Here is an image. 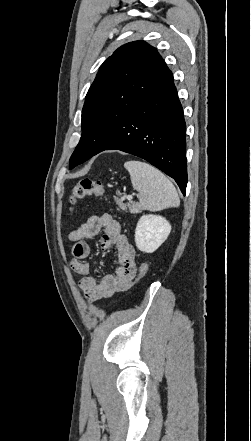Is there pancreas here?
Returning <instances> with one entry per match:
<instances>
[{
    "label": "pancreas",
    "instance_id": "pancreas-1",
    "mask_svg": "<svg viewBox=\"0 0 251 441\" xmlns=\"http://www.w3.org/2000/svg\"><path fill=\"white\" fill-rule=\"evenodd\" d=\"M116 204L119 206L118 210L123 212H127L128 209L131 213L138 214L143 210L142 206L136 202L124 203L122 200H119Z\"/></svg>",
    "mask_w": 251,
    "mask_h": 441
}]
</instances>
